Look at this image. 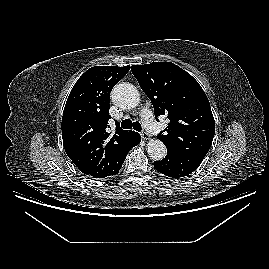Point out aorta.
Masks as SVG:
<instances>
[{
    "mask_svg": "<svg viewBox=\"0 0 269 269\" xmlns=\"http://www.w3.org/2000/svg\"><path fill=\"white\" fill-rule=\"evenodd\" d=\"M113 102L122 108H134L140 101V94L135 86L129 83L117 84L112 91ZM149 156L156 161L162 160L167 153L164 143L158 139H153L147 144Z\"/></svg>",
    "mask_w": 269,
    "mask_h": 269,
    "instance_id": "762f6f07",
    "label": "aorta"
}]
</instances>
